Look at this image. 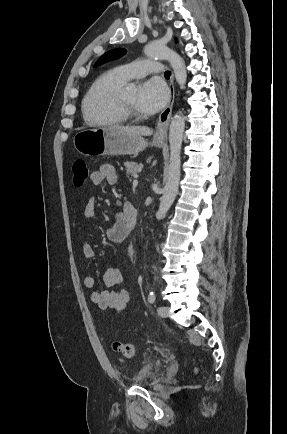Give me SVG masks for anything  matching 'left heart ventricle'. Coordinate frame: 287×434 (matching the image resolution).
I'll list each match as a JSON object with an SVG mask.
<instances>
[{"label":"left heart ventricle","mask_w":287,"mask_h":434,"mask_svg":"<svg viewBox=\"0 0 287 434\" xmlns=\"http://www.w3.org/2000/svg\"><path fill=\"white\" fill-rule=\"evenodd\" d=\"M136 90L134 89H123L122 91V96L124 101L132 108H134L135 110L139 111L138 107H137V103H136Z\"/></svg>","instance_id":"b2bd125f"}]
</instances>
